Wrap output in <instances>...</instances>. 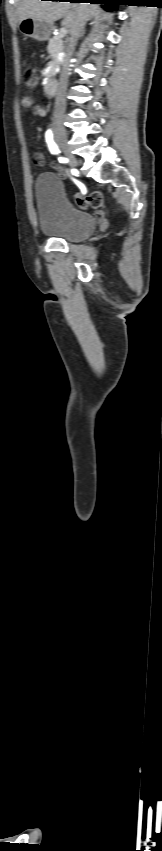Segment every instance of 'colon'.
<instances>
[{"mask_svg":"<svg viewBox=\"0 0 162 851\" xmlns=\"http://www.w3.org/2000/svg\"><path fill=\"white\" fill-rule=\"evenodd\" d=\"M24 79L28 91L33 92L39 83V73L36 69L28 68L24 71ZM75 200L81 209H97L103 204V195L100 191H92L88 196L76 195Z\"/></svg>","mask_w":162,"mask_h":851,"instance_id":"colon-1","label":"colon"}]
</instances>
